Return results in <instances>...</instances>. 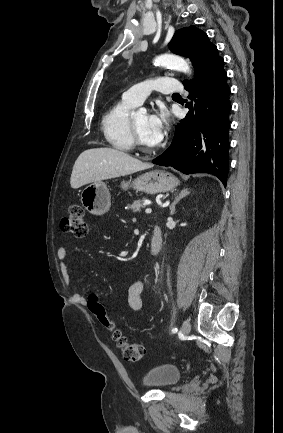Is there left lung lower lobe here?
Masks as SVG:
<instances>
[{"label": "left lung lower lobe", "mask_w": 283, "mask_h": 433, "mask_svg": "<svg viewBox=\"0 0 283 433\" xmlns=\"http://www.w3.org/2000/svg\"><path fill=\"white\" fill-rule=\"evenodd\" d=\"M223 64L215 45L196 60L194 80L183 81L195 103L187 102L189 112L177 125L171 145L152 162L184 174H212L226 187L231 103Z\"/></svg>", "instance_id": "obj_1"}]
</instances>
